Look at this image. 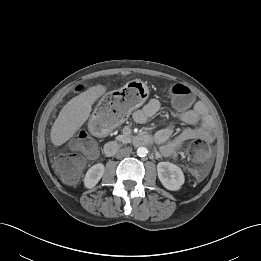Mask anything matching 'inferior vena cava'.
I'll list each match as a JSON object with an SVG mask.
<instances>
[{"instance_id":"1","label":"inferior vena cava","mask_w":261,"mask_h":261,"mask_svg":"<svg viewBox=\"0 0 261 261\" xmlns=\"http://www.w3.org/2000/svg\"><path fill=\"white\" fill-rule=\"evenodd\" d=\"M131 152H132L131 147H124L117 152L116 157L117 158L127 157L131 154Z\"/></svg>"}]
</instances>
